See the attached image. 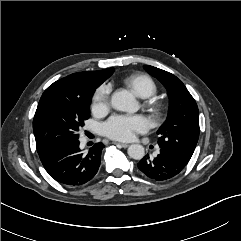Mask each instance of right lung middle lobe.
I'll return each instance as SVG.
<instances>
[{"label":"right lung middle lobe","instance_id":"1","mask_svg":"<svg viewBox=\"0 0 241 241\" xmlns=\"http://www.w3.org/2000/svg\"><path fill=\"white\" fill-rule=\"evenodd\" d=\"M96 88L91 86L80 96L52 93L37 107L33 131L38 153L78 139L79 129L89 118L90 101Z\"/></svg>","mask_w":241,"mask_h":241}]
</instances>
